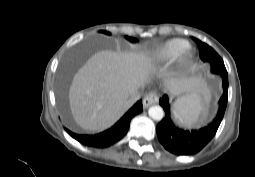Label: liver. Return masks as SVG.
Segmentation results:
<instances>
[{
	"label": "liver",
	"instance_id": "1",
	"mask_svg": "<svg viewBox=\"0 0 255 177\" xmlns=\"http://www.w3.org/2000/svg\"><path fill=\"white\" fill-rule=\"evenodd\" d=\"M154 71L151 59L143 53H95L74 75L69 88L74 120L91 132L109 128L131 107L129 97L148 82ZM165 84L175 95L205 90L199 77L167 75Z\"/></svg>",
	"mask_w": 255,
	"mask_h": 177
}]
</instances>
